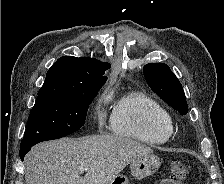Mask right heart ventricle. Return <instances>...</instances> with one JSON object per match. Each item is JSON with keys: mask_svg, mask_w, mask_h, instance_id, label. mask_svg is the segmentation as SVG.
I'll return each mask as SVG.
<instances>
[{"mask_svg": "<svg viewBox=\"0 0 224 184\" xmlns=\"http://www.w3.org/2000/svg\"><path fill=\"white\" fill-rule=\"evenodd\" d=\"M112 131L148 145L165 144L172 135L173 121L168 110L141 91H130L114 104Z\"/></svg>", "mask_w": 224, "mask_h": 184, "instance_id": "1", "label": "right heart ventricle"}]
</instances>
